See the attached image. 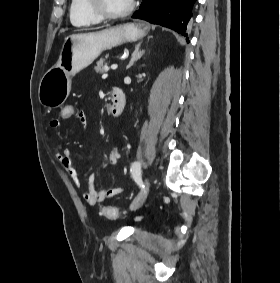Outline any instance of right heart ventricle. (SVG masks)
Here are the masks:
<instances>
[{
  "label": "right heart ventricle",
  "mask_w": 280,
  "mask_h": 283,
  "mask_svg": "<svg viewBox=\"0 0 280 283\" xmlns=\"http://www.w3.org/2000/svg\"><path fill=\"white\" fill-rule=\"evenodd\" d=\"M69 14L71 23L76 27H86L101 21V18L89 9L87 0H71Z\"/></svg>",
  "instance_id": "right-heart-ventricle-1"
}]
</instances>
